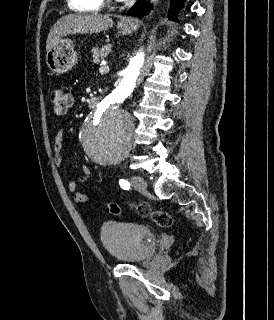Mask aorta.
Masks as SVG:
<instances>
[{"label":"aorta","instance_id":"1","mask_svg":"<svg viewBox=\"0 0 274 320\" xmlns=\"http://www.w3.org/2000/svg\"><path fill=\"white\" fill-rule=\"evenodd\" d=\"M143 64L144 53H137L130 60L116 88L98 104L85 121L80 139L85 154L92 161L118 162L128 155L133 125L131 116L123 105L136 86Z\"/></svg>","mask_w":274,"mask_h":320}]
</instances>
